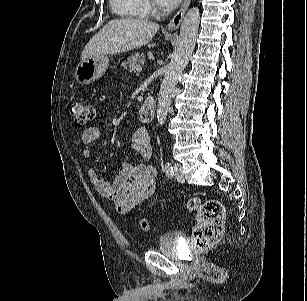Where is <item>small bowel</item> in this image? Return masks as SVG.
<instances>
[{"mask_svg":"<svg viewBox=\"0 0 307 301\" xmlns=\"http://www.w3.org/2000/svg\"><path fill=\"white\" fill-rule=\"evenodd\" d=\"M102 132L91 127L82 134L84 156H92V144L99 140ZM132 148L144 160H150L153 155L150 134L147 128L139 127L132 136ZM88 175L97 192L111 201L120 215H126L144 200L156 192V170L152 165L141 163L135 166L125 163L123 169L112 183L101 179L97 172L90 168Z\"/></svg>","mask_w":307,"mask_h":301,"instance_id":"small-bowel-1","label":"small bowel"}]
</instances>
